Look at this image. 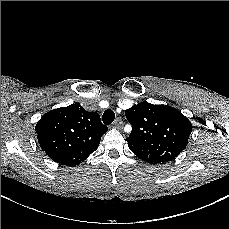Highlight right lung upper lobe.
Masks as SVG:
<instances>
[{"mask_svg": "<svg viewBox=\"0 0 229 229\" xmlns=\"http://www.w3.org/2000/svg\"><path fill=\"white\" fill-rule=\"evenodd\" d=\"M108 130L97 112H88L80 103L45 113L35 126L43 151L62 165L83 162L97 150L102 135Z\"/></svg>", "mask_w": 229, "mask_h": 229, "instance_id": "cb5924a9", "label": "right lung upper lobe"}]
</instances>
